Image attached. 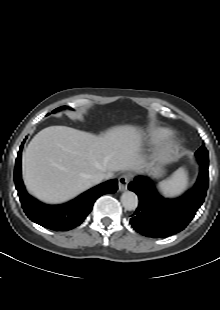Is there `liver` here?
Here are the masks:
<instances>
[{
	"mask_svg": "<svg viewBox=\"0 0 220 310\" xmlns=\"http://www.w3.org/2000/svg\"><path fill=\"white\" fill-rule=\"evenodd\" d=\"M141 132L116 126L100 136L66 126H50L26 148L22 170L28 191L47 203H62L91 188L90 176L108 178L120 170H137Z\"/></svg>",
	"mask_w": 220,
	"mask_h": 310,
	"instance_id": "liver-1",
	"label": "liver"
}]
</instances>
